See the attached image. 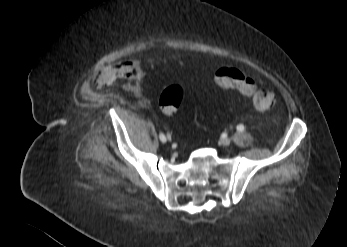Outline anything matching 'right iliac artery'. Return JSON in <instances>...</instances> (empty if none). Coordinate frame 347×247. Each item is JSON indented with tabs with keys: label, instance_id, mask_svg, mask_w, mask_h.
Listing matches in <instances>:
<instances>
[{
	"label": "right iliac artery",
	"instance_id": "right-iliac-artery-1",
	"mask_svg": "<svg viewBox=\"0 0 347 247\" xmlns=\"http://www.w3.org/2000/svg\"><path fill=\"white\" fill-rule=\"evenodd\" d=\"M159 138H160V140H161L162 142H166V137H165L164 134L160 133V134H159Z\"/></svg>",
	"mask_w": 347,
	"mask_h": 247
}]
</instances>
